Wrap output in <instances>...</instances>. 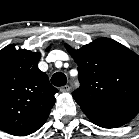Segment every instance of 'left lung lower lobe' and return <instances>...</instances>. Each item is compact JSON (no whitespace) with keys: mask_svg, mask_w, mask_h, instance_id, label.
Segmentation results:
<instances>
[{"mask_svg":"<svg viewBox=\"0 0 139 139\" xmlns=\"http://www.w3.org/2000/svg\"><path fill=\"white\" fill-rule=\"evenodd\" d=\"M86 116L96 125L103 128H116L129 122L138 110L116 111V112H92L84 111Z\"/></svg>","mask_w":139,"mask_h":139,"instance_id":"left-lung-lower-lobe-1","label":"left lung lower lobe"}]
</instances>
